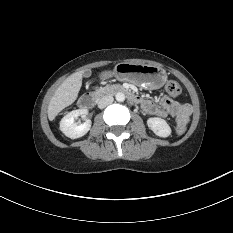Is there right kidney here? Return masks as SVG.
Wrapping results in <instances>:
<instances>
[{"label": "right kidney", "mask_w": 233, "mask_h": 233, "mask_svg": "<svg viewBox=\"0 0 233 233\" xmlns=\"http://www.w3.org/2000/svg\"><path fill=\"white\" fill-rule=\"evenodd\" d=\"M87 109H78L69 112L65 115L60 122V130L62 133L71 139H76L84 136L91 128V120H86L82 124L75 122L78 116L86 115Z\"/></svg>", "instance_id": "ca27d5eb"}]
</instances>
